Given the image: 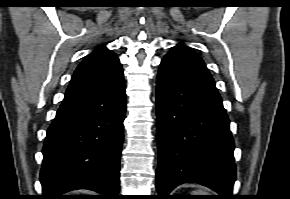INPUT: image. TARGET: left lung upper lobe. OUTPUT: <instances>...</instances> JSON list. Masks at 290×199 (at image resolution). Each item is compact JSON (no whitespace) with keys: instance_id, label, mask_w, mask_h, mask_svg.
Here are the masks:
<instances>
[{"instance_id":"left-lung-upper-lobe-1","label":"left lung upper lobe","mask_w":290,"mask_h":199,"mask_svg":"<svg viewBox=\"0 0 290 199\" xmlns=\"http://www.w3.org/2000/svg\"><path fill=\"white\" fill-rule=\"evenodd\" d=\"M171 50L181 51V52L189 55L190 57L195 58L198 62H201L204 64L203 60L200 58V56L198 54H196L194 51H192L191 49H189L187 46H185L183 44H178L177 46L173 47Z\"/></svg>"}]
</instances>
